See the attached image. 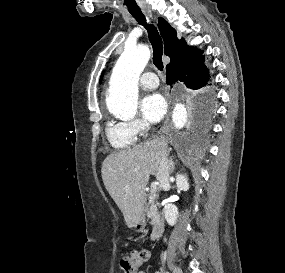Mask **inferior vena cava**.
Returning <instances> with one entry per match:
<instances>
[{
	"label": "inferior vena cava",
	"mask_w": 285,
	"mask_h": 273,
	"mask_svg": "<svg viewBox=\"0 0 285 273\" xmlns=\"http://www.w3.org/2000/svg\"><path fill=\"white\" fill-rule=\"evenodd\" d=\"M170 162L167 155H163L159 162V170L157 180L160 182V187L165 188L169 185Z\"/></svg>",
	"instance_id": "obj_1"
}]
</instances>
